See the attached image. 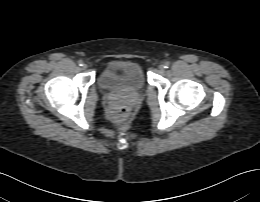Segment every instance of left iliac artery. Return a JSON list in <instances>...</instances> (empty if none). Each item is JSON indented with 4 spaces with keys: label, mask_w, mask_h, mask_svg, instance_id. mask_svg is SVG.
I'll use <instances>...</instances> for the list:
<instances>
[{
    "label": "left iliac artery",
    "mask_w": 260,
    "mask_h": 202,
    "mask_svg": "<svg viewBox=\"0 0 260 202\" xmlns=\"http://www.w3.org/2000/svg\"><path fill=\"white\" fill-rule=\"evenodd\" d=\"M169 66H170V62L167 61L164 63V68H169Z\"/></svg>",
    "instance_id": "obj_1"
}]
</instances>
